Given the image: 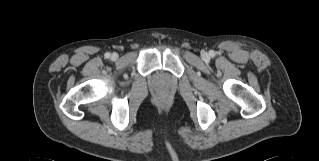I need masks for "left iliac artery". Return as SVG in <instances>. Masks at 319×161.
Masks as SVG:
<instances>
[{
  "instance_id": "44dca946",
  "label": "left iliac artery",
  "mask_w": 319,
  "mask_h": 161,
  "mask_svg": "<svg viewBox=\"0 0 319 161\" xmlns=\"http://www.w3.org/2000/svg\"><path fill=\"white\" fill-rule=\"evenodd\" d=\"M210 55L213 57V56H214V52H213V51H211V52H210Z\"/></svg>"
}]
</instances>
